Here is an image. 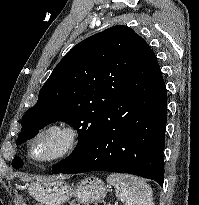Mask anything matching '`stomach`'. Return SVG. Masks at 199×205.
<instances>
[{"label":"stomach","instance_id":"1","mask_svg":"<svg viewBox=\"0 0 199 205\" xmlns=\"http://www.w3.org/2000/svg\"><path fill=\"white\" fill-rule=\"evenodd\" d=\"M28 190L40 205H62L73 197L78 205H85L101 201L106 196L107 187L101 179L90 176L76 185L63 181H35L29 184Z\"/></svg>","mask_w":199,"mask_h":205}]
</instances>
